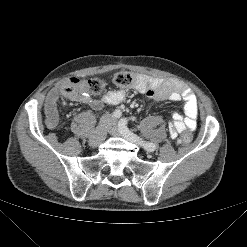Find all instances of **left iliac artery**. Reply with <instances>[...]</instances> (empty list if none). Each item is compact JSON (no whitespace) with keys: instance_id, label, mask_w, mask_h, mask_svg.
<instances>
[{"instance_id":"left-iliac-artery-1","label":"left iliac artery","mask_w":247,"mask_h":247,"mask_svg":"<svg viewBox=\"0 0 247 247\" xmlns=\"http://www.w3.org/2000/svg\"><path fill=\"white\" fill-rule=\"evenodd\" d=\"M118 129L122 134H127L130 137L136 139L140 146H143L144 149L147 151H154L156 149V145L151 142H145L136 134L132 133L129 128L127 127V120L125 118L121 119L118 123Z\"/></svg>"}]
</instances>
